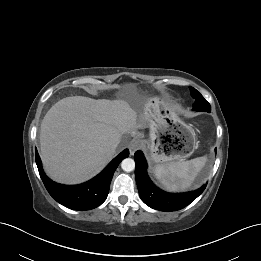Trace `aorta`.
<instances>
[{"label": "aorta", "instance_id": "obj_1", "mask_svg": "<svg viewBox=\"0 0 261 261\" xmlns=\"http://www.w3.org/2000/svg\"><path fill=\"white\" fill-rule=\"evenodd\" d=\"M121 168L126 172H131L135 169V162L131 158H125L121 162Z\"/></svg>", "mask_w": 261, "mask_h": 261}]
</instances>
